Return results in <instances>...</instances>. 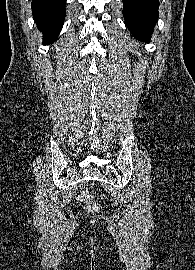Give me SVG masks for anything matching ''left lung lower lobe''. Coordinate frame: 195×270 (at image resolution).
Instances as JSON below:
<instances>
[{"instance_id": "left-lung-lower-lobe-1", "label": "left lung lower lobe", "mask_w": 195, "mask_h": 270, "mask_svg": "<svg viewBox=\"0 0 195 270\" xmlns=\"http://www.w3.org/2000/svg\"><path fill=\"white\" fill-rule=\"evenodd\" d=\"M159 0H123L125 23L134 38L150 40L158 19Z\"/></svg>"}]
</instances>
